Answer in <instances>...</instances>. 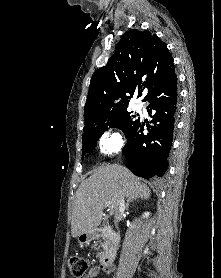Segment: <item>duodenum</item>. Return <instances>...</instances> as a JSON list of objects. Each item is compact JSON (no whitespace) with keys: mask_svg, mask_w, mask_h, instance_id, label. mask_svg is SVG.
Wrapping results in <instances>:
<instances>
[{"mask_svg":"<svg viewBox=\"0 0 221 278\" xmlns=\"http://www.w3.org/2000/svg\"><path fill=\"white\" fill-rule=\"evenodd\" d=\"M99 237H104L109 242L107 249L100 256L101 268L108 269L111 266V263L117 252L119 237L117 232L113 228L105 226L82 234L81 241L87 243Z\"/></svg>","mask_w":221,"mask_h":278,"instance_id":"1","label":"duodenum"}]
</instances>
